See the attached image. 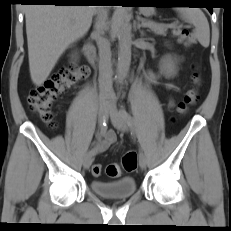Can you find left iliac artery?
<instances>
[{"mask_svg": "<svg viewBox=\"0 0 231 231\" xmlns=\"http://www.w3.org/2000/svg\"><path fill=\"white\" fill-rule=\"evenodd\" d=\"M121 115L124 117V119L126 120L127 124L129 126H134V120L132 119V117L126 112L125 108L122 107L120 110Z\"/></svg>", "mask_w": 231, "mask_h": 231, "instance_id": "44dca946", "label": "left iliac artery"}]
</instances>
